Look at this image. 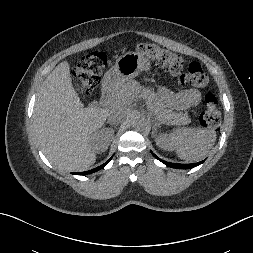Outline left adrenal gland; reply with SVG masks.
Returning <instances> with one entry per match:
<instances>
[{
	"instance_id": "obj_1",
	"label": "left adrenal gland",
	"mask_w": 253,
	"mask_h": 253,
	"mask_svg": "<svg viewBox=\"0 0 253 253\" xmlns=\"http://www.w3.org/2000/svg\"><path fill=\"white\" fill-rule=\"evenodd\" d=\"M155 125H154V130L152 132V134L154 135V132L156 131V127H158L160 125V123L155 119Z\"/></svg>"
}]
</instances>
